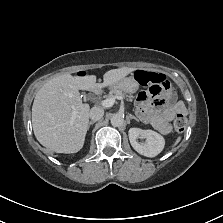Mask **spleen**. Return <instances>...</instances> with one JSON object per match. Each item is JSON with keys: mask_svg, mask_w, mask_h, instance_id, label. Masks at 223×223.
Listing matches in <instances>:
<instances>
[{"mask_svg": "<svg viewBox=\"0 0 223 223\" xmlns=\"http://www.w3.org/2000/svg\"><path fill=\"white\" fill-rule=\"evenodd\" d=\"M180 140H181V138L178 137L177 140H176V144H177Z\"/></svg>", "mask_w": 223, "mask_h": 223, "instance_id": "3e777b00", "label": "spleen"}]
</instances>
